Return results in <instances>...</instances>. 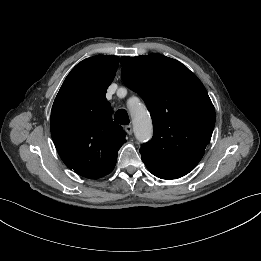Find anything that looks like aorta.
<instances>
[{
  "mask_svg": "<svg viewBox=\"0 0 261 261\" xmlns=\"http://www.w3.org/2000/svg\"><path fill=\"white\" fill-rule=\"evenodd\" d=\"M134 134L138 141L145 142L152 138L153 128L150 115L143 105L131 108Z\"/></svg>",
  "mask_w": 261,
  "mask_h": 261,
  "instance_id": "obj_1",
  "label": "aorta"
}]
</instances>
